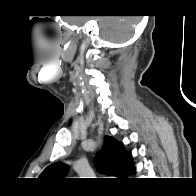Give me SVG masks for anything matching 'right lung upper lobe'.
<instances>
[{"mask_svg":"<svg viewBox=\"0 0 196 196\" xmlns=\"http://www.w3.org/2000/svg\"><path fill=\"white\" fill-rule=\"evenodd\" d=\"M100 170L110 176L125 178L134 170L131 155L113 137H104V146L96 158ZM68 166L58 162L48 166L40 175L45 181L57 182L67 173Z\"/></svg>","mask_w":196,"mask_h":196,"instance_id":"1","label":"right lung upper lobe"}]
</instances>
